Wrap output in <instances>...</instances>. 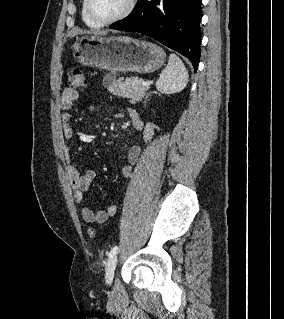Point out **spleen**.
Wrapping results in <instances>:
<instances>
[{"label": "spleen", "instance_id": "3e777b00", "mask_svg": "<svg viewBox=\"0 0 284 319\" xmlns=\"http://www.w3.org/2000/svg\"><path fill=\"white\" fill-rule=\"evenodd\" d=\"M188 83V72L182 60L174 53L169 55L168 65L156 82L158 91L174 94L182 91Z\"/></svg>", "mask_w": 284, "mask_h": 319}]
</instances>
